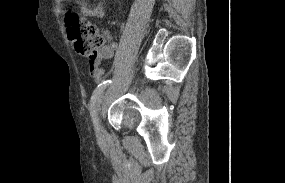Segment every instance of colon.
<instances>
[{
    "label": "colon",
    "instance_id": "1",
    "mask_svg": "<svg viewBox=\"0 0 285 183\" xmlns=\"http://www.w3.org/2000/svg\"><path fill=\"white\" fill-rule=\"evenodd\" d=\"M65 26L69 40L81 55L95 59L108 39L91 22L85 21L76 14L65 16Z\"/></svg>",
    "mask_w": 285,
    "mask_h": 183
}]
</instances>
